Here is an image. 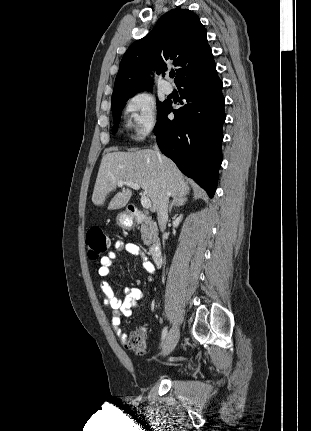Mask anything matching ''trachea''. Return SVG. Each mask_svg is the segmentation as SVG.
<instances>
[{
    "mask_svg": "<svg viewBox=\"0 0 311 431\" xmlns=\"http://www.w3.org/2000/svg\"><path fill=\"white\" fill-rule=\"evenodd\" d=\"M174 76H175V72H171V73H170V77H171V78H174Z\"/></svg>",
    "mask_w": 311,
    "mask_h": 431,
    "instance_id": "1",
    "label": "trachea"
}]
</instances>
